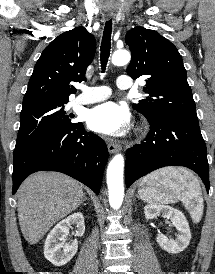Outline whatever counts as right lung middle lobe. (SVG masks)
Listing matches in <instances>:
<instances>
[{"mask_svg":"<svg viewBox=\"0 0 215 274\" xmlns=\"http://www.w3.org/2000/svg\"><path fill=\"white\" fill-rule=\"evenodd\" d=\"M67 102H41L22 107L14 158L36 142L76 125L64 110Z\"/></svg>","mask_w":215,"mask_h":274,"instance_id":"dd1d6c3e","label":"right lung middle lobe"}]
</instances>
